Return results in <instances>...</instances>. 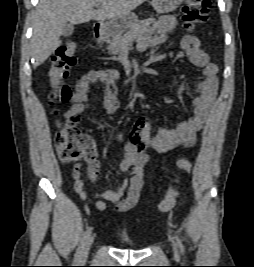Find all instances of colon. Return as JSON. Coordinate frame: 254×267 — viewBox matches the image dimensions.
Segmentation results:
<instances>
[{
    "label": "colon",
    "instance_id": "obj_1",
    "mask_svg": "<svg viewBox=\"0 0 254 267\" xmlns=\"http://www.w3.org/2000/svg\"><path fill=\"white\" fill-rule=\"evenodd\" d=\"M211 1L210 0H185L182 7V17L187 28L207 21ZM76 46L74 42H68L59 47L51 61L48 70V78L51 85L50 101L67 102L71 98V90L65 83L70 69L76 63ZM55 145L59 159L65 163L86 160L88 162L97 158V152L93 141L79 129V117H69L64 122H58V131L55 134ZM175 167L186 172L191 171L192 164L187 159H178ZM174 181V180H172ZM178 193L173 186L169 187L164 198L159 203L158 209L167 212L176 203Z\"/></svg>",
    "mask_w": 254,
    "mask_h": 267
}]
</instances>
